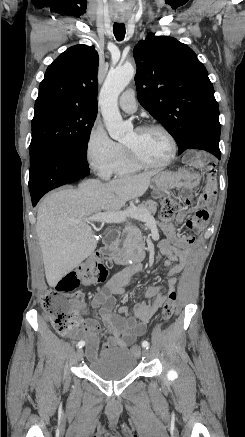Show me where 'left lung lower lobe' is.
Instances as JSON below:
<instances>
[{
    "mask_svg": "<svg viewBox=\"0 0 245 437\" xmlns=\"http://www.w3.org/2000/svg\"><path fill=\"white\" fill-rule=\"evenodd\" d=\"M188 149H200L206 150L213 155H215L218 159L221 158V152L219 149V141L215 140L211 137H202L193 140L189 145Z\"/></svg>",
    "mask_w": 245,
    "mask_h": 437,
    "instance_id": "obj_1",
    "label": "left lung lower lobe"
}]
</instances>
